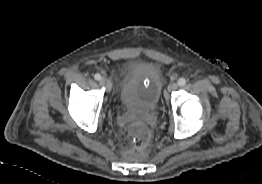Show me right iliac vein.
I'll use <instances>...</instances> for the list:
<instances>
[{"mask_svg": "<svg viewBox=\"0 0 262 184\" xmlns=\"http://www.w3.org/2000/svg\"><path fill=\"white\" fill-rule=\"evenodd\" d=\"M100 83H101V85H103V86L105 87V89H106L107 92H110V91H111V89H112V83H111V81H110L109 79H107V78H102V79L100 80Z\"/></svg>", "mask_w": 262, "mask_h": 184, "instance_id": "obj_1", "label": "right iliac vein"}]
</instances>
